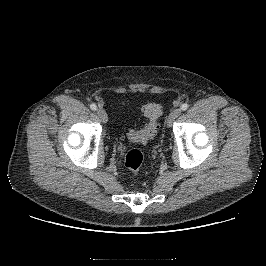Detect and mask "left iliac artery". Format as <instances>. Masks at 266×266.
<instances>
[{"label": "left iliac artery", "instance_id": "left-iliac-artery-1", "mask_svg": "<svg viewBox=\"0 0 266 266\" xmlns=\"http://www.w3.org/2000/svg\"><path fill=\"white\" fill-rule=\"evenodd\" d=\"M188 107H189V105H188L187 103H183V104L181 105L180 109H181L182 111H185V110L188 109Z\"/></svg>", "mask_w": 266, "mask_h": 266}]
</instances>
